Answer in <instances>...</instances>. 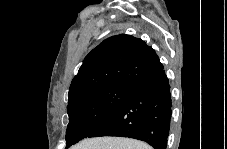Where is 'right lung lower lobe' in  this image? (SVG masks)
<instances>
[{"instance_id": "right-lung-lower-lobe-1", "label": "right lung lower lobe", "mask_w": 227, "mask_h": 149, "mask_svg": "<svg viewBox=\"0 0 227 149\" xmlns=\"http://www.w3.org/2000/svg\"><path fill=\"white\" fill-rule=\"evenodd\" d=\"M172 114L169 80L162 69L137 84L126 101L90 137L120 136L166 149Z\"/></svg>"}]
</instances>
